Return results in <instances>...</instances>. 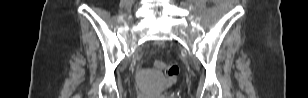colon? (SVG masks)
Instances as JSON below:
<instances>
[{
    "instance_id": "1",
    "label": "colon",
    "mask_w": 308,
    "mask_h": 98,
    "mask_svg": "<svg viewBox=\"0 0 308 98\" xmlns=\"http://www.w3.org/2000/svg\"><path fill=\"white\" fill-rule=\"evenodd\" d=\"M156 65L160 70L164 72L167 85L169 87L173 86L179 76V67L175 64H165L163 62H158Z\"/></svg>"
}]
</instances>
